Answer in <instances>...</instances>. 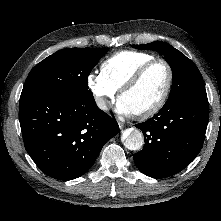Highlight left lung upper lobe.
Returning a JSON list of instances; mask_svg holds the SVG:
<instances>
[{
  "label": "left lung upper lobe",
  "mask_w": 221,
  "mask_h": 221,
  "mask_svg": "<svg viewBox=\"0 0 221 221\" xmlns=\"http://www.w3.org/2000/svg\"><path fill=\"white\" fill-rule=\"evenodd\" d=\"M137 49L154 50L163 54L172 69V88L168 100L183 96L206 95L205 85L197 66L171 45L156 41L133 45Z\"/></svg>",
  "instance_id": "obj_1"
}]
</instances>
